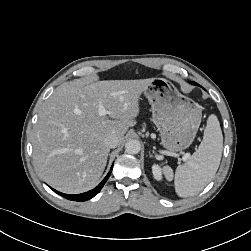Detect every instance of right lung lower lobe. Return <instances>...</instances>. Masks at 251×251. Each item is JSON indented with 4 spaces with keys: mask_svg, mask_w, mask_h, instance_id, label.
I'll return each mask as SVG.
<instances>
[{
    "mask_svg": "<svg viewBox=\"0 0 251 251\" xmlns=\"http://www.w3.org/2000/svg\"><path fill=\"white\" fill-rule=\"evenodd\" d=\"M113 166L111 167L109 173L106 175V177L102 180V182L93 190H90L88 192L82 193V194H77V195H68V194H64L61 192L56 191L55 189L51 188L54 192H56L57 194L61 195L62 197L68 199V200H72V201H86L89 200L91 198H93L95 195H97L100 190L102 189V187L104 186V184L106 183V181L108 180L111 171H112Z\"/></svg>",
    "mask_w": 251,
    "mask_h": 251,
    "instance_id": "obj_1",
    "label": "right lung lower lobe"
}]
</instances>
